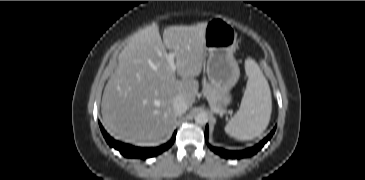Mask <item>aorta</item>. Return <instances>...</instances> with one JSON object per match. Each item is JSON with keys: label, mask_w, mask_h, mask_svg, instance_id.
Segmentation results:
<instances>
[{"label": "aorta", "mask_w": 365, "mask_h": 180, "mask_svg": "<svg viewBox=\"0 0 365 180\" xmlns=\"http://www.w3.org/2000/svg\"><path fill=\"white\" fill-rule=\"evenodd\" d=\"M194 119L197 124L205 125L208 122V115L205 112H200Z\"/></svg>", "instance_id": "1"}]
</instances>
